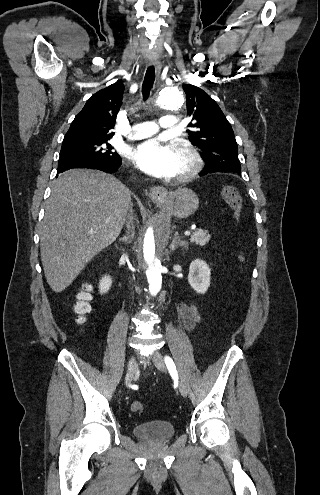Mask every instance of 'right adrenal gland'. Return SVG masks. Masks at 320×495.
I'll list each match as a JSON object with an SVG mask.
<instances>
[{"label": "right adrenal gland", "mask_w": 320, "mask_h": 495, "mask_svg": "<svg viewBox=\"0 0 320 495\" xmlns=\"http://www.w3.org/2000/svg\"><path fill=\"white\" fill-rule=\"evenodd\" d=\"M134 236V231H133V225H132V232H131V235L129 237L127 236H124L122 238H120V241L124 242V243H128L131 241V239L133 238Z\"/></svg>", "instance_id": "2a0ac1e0"}]
</instances>
